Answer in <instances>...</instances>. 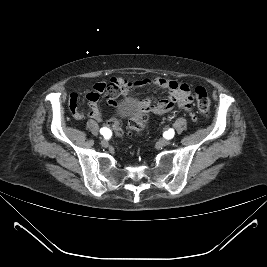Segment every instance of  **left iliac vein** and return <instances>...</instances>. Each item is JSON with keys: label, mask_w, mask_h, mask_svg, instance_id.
<instances>
[{"label": "left iliac vein", "mask_w": 267, "mask_h": 267, "mask_svg": "<svg viewBox=\"0 0 267 267\" xmlns=\"http://www.w3.org/2000/svg\"><path fill=\"white\" fill-rule=\"evenodd\" d=\"M169 144H170V140L169 139H160L158 141V145L159 146H162V147L167 146Z\"/></svg>", "instance_id": "1"}]
</instances>
